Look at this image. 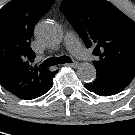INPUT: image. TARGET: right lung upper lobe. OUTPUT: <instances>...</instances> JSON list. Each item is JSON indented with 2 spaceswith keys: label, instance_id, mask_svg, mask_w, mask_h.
Returning <instances> with one entry per match:
<instances>
[{
  "label": "right lung upper lobe",
  "instance_id": "right-lung-upper-lobe-1",
  "mask_svg": "<svg viewBox=\"0 0 135 135\" xmlns=\"http://www.w3.org/2000/svg\"><path fill=\"white\" fill-rule=\"evenodd\" d=\"M54 0H11L0 9V84L15 96L48 85L55 72L32 66L30 40L37 21Z\"/></svg>",
  "mask_w": 135,
  "mask_h": 135
}]
</instances>
